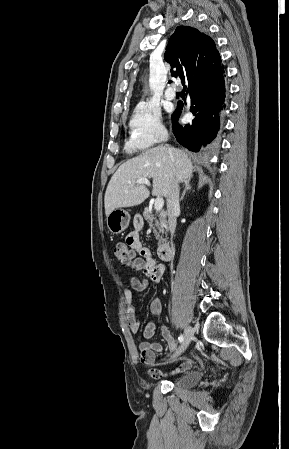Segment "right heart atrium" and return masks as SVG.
<instances>
[{"mask_svg": "<svg viewBox=\"0 0 289 449\" xmlns=\"http://www.w3.org/2000/svg\"><path fill=\"white\" fill-rule=\"evenodd\" d=\"M132 147L146 149L162 142L166 137V129L162 124L159 111L141 103L137 105L129 121Z\"/></svg>", "mask_w": 289, "mask_h": 449, "instance_id": "1", "label": "right heart atrium"}]
</instances>
